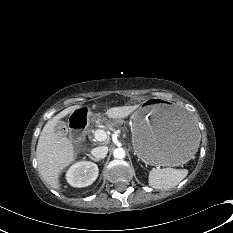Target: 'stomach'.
I'll list each match as a JSON object with an SVG mask.
<instances>
[{
    "label": "stomach",
    "mask_w": 233,
    "mask_h": 233,
    "mask_svg": "<svg viewBox=\"0 0 233 233\" xmlns=\"http://www.w3.org/2000/svg\"><path fill=\"white\" fill-rule=\"evenodd\" d=\"M131 119L133 149L146 164L177 166L190 160L199 147L194 120L176 103L150 99Z\"/></svg>",
    "instance_id": "0dacf381"
}]
</instances>
